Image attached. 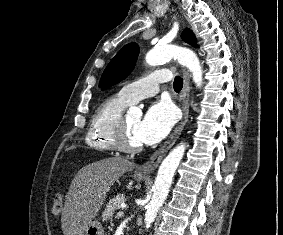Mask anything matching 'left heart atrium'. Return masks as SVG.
Masks as SVG:
<instances>
[{"instance_id": "left-heart-atrium-1", "label": "left heart atrium", "mask_w": 283, "mask_h": 235, "mask_svg": "<svg viewBox=\"0 0 283 235\" xmlns=\"http://www.w3.org/2000/svg\"><path fill=\"white\" fill-rule=\"evenodd\" d=\"M176 122L173 106L160 101L153 104L146 112L136 129V135L143 144H155L162 140Z\"/></svg>"}]
</instances>
